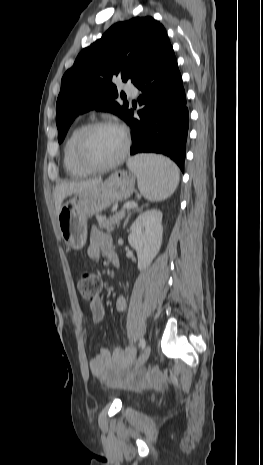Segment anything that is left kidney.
Segmentation results:
<instances>
[{
	"label": "left kidney",
	"mask_w": 263,
	"mask_h": 465,
	"mask_svg": "<svg viewBox=\"0 0 263 465\" xmlns=\"http://www.w3.org/2000/svg\"><path fill=\"white\" fill-rule=\"evenodd\" d=\"M163 236L162 212L148 210L138 216L130 227L128 242L137 252L138 269L147 268L158 254Z\"/></svg>",
	"instance_id": "obj_1"
}]
</instances>
